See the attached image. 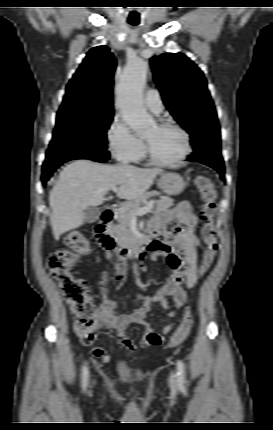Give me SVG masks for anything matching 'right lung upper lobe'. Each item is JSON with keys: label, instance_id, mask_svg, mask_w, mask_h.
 Here are the masks:
<instances>
[{"label": "right lung upper lobe", "instance_id": "obj_1", "mask_svg": "<svg viewBox=\"0 0 273 430\" xmlns=\"http://www.w3.org/2000/svg\"><path fill=\"white\" fill-rule=\"evenodd\" d=\"M115 59L106 46L91 49L66 87L60 109L113 111Z\"/></svg>", "mask_w": 273, "mask_h": 430}]
</instances>
